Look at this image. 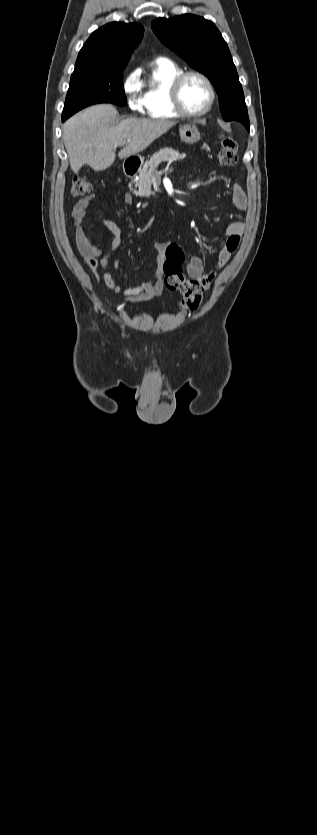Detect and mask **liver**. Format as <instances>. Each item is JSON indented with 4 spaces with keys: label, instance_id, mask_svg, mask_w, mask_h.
Wrapping results in <instances>:
<instances>
[{
    "label": "liver",
    "instance_id": "liver-1",
    "mask_svg": "<svg viewBox=\"0 0 317 835\" xmlns=\"http://www.w3.org/2000/svg\"><path fill=\"white\" fill-rule=\"evenodd\" d=\"M117 116L114 106L100 104L77 113L64 123L63 140L75 173L84 164L95 171L105 170L115 161L117 146L125 144L118 153L120 159L130 157L145 150L176 125L169 120L138 118H127L112 124Z\"/></svg>",
    "mask_w": 317,
    "mask_h": 835
}]
</instances>
